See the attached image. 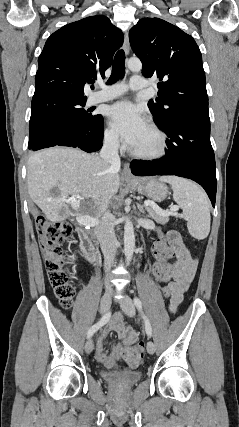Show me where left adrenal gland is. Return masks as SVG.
I'll list each match as a JSON object with an SVG mask.
<instances>
[{
	"instance_id": "a2214340",
	"label": "left adrenal gland",
	"mask_w": 239,
	"mask_h": 427,
	"mask_svg": "<svg viewBox=\"0 0 239 427\" xmlns=\"http://www.w3.org/2000/svg\"><path fill=\"white\" fill-rule=\"evenodd\" d=\"M137 207H138L139 212H142L143 214L146 213L142 205L137 203Z\"/></svg>"
}]
</instances>
